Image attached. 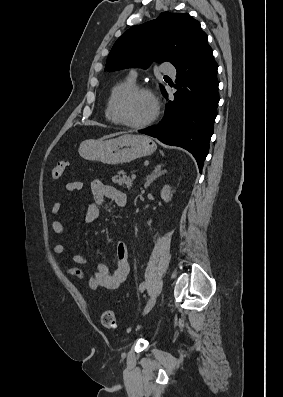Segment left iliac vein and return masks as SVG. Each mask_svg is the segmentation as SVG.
Here are the masks:
<instances>
[{
    "label": "left iliac vein",
    "instance_id": "obj_1",
    "mask_svg": "<svg viewBox=\"0 0 283 397\" xmlns=\"http://www.w3.org/2000/svg\"><path fill=\"white\" fill-rule=\"evenodd\" d=\"M155 303H156V296H152V297L149 299V301L147 302V304H146V306H145V308H144L143 314H144V315L147 314V313L153 308V306L155 305Z\"/></svg>",
    "mask_w": 283,
    "mask_h": 397
}]
</instances>
